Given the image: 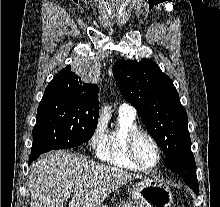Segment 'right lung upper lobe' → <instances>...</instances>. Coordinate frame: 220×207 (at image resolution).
<instances>
[{
    "label": "right lung upper lobe",
    "instance_id": "cb5924a9",
    "mask_svg": "<svg viewBox=\"0 0 220 207\" xmlns=\"http://www.w3.org/2000/svg\"><path fill=\"white\" fill-rule=\"evenodd\" d=\"M98 92L97 85L84 82L71 66H66L50 81L44 94L73 95L99 107Z\"/></svg>",
    "mask_w": 220,
    "mask_h": 207
}]
</instances>
